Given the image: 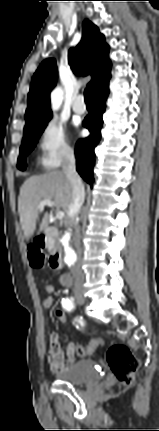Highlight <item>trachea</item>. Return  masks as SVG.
Listing matches in <instances>:
<instances>
[{
	"instance_id": "obj_1",
	"label": "trachea",
	"mask_w": 159,
	"mask_h": 431,
	"mask_svg": "<svg viewBox=\"0 0 159 431\" xmlns=\"http://www.w3.org/2000/svg\"><path fill=\"white\" fill-rule=\"evenodd\" d=\"M84 99L86 104H93V89L88 87L84 91Z\"/></svg>"
}]
</instances>
